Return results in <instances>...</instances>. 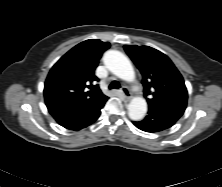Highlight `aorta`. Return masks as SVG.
Listing matches in <instances>:
<instances>
[{
  "mask_svg": "<svg viewBox=\"0 0 222 187\" xmlns=\"http://www.w3.org/2000/svg\"><path fill=\"white\" fill-rule=\"evenodd\" d=\"M105 66L117 77L127 82L135 80V71L130 60L120 51L108 50L104 53ZM147 112V102L143 97H134L128 105V115L134 121H140Z\"/></svg>",
  "mask_w": 222,
  "mask_h": 187,
  "instance_id": "762f6f07",
  "label": "aorta"
}]
</instances>
